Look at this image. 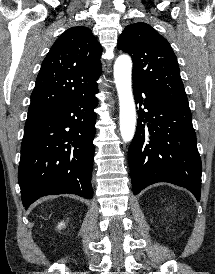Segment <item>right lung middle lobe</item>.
<instances>
[{
    "label": "right lung middle lobe",
    "instance_id": "obj_1",
    "mask_svg": "<svg viewBox=\"0 0 215 274\" xmlns=\"http://www.w3.org/2000/svg\"><path fill=\"white\" fill-rule=\"evenodd\" d=\"M45 114L46 113H40V112L28 113V117H27L25 126H28V125L36 122L37 120L42 118Z\"/></svg>",
    "mask_w": 215,
    "mask_h": 274
}]
</instances>
